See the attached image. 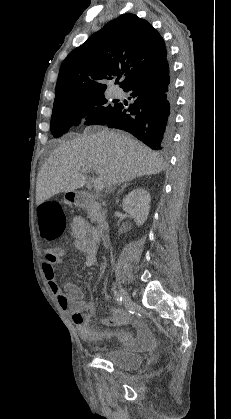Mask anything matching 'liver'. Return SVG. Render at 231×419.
Returning a JSON list of instances; mask_svg holds the SVG:
<instances>
[{
    "label": "liver",
    "instance_id": "6515ba94",
    "mask_svg": "<svg viewBox=\"0 0 231 419\" xmlns=\"http://www.w3.org/2000/svg\"><path fill=\"white\" fill-rule=\"evenodd\" d=\"M162 157L133 137L103 129L60 144L38 174L36 203L83 188L94 170L107 188L160 173Z\"/></svg>",
    "mask_w": 231,
    "mask_h": 419
}]
</instances>
